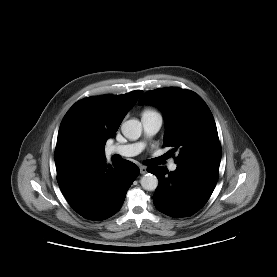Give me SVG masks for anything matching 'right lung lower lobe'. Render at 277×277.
<instances>
[{"instance_id":"right-lung-lower-lobe-1","label":"right lung lower lobe","mask_w":277,"mask_h":277,"mask_svg":"<svg viewBox=\"0 0 277 277\" xmlns=\"http://www.w3.org/2000/svg\"><path fill=\"white\" fill-rule=\"evenodd\" d=\"M138 174V166L130 161L112 167L104 160L58 174L57 181L74 211L101 221L118 212Z\"/></svg>"}]
</instances>
